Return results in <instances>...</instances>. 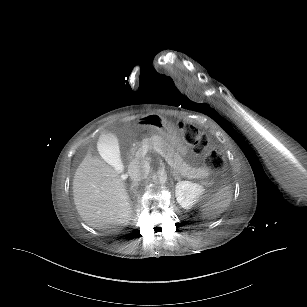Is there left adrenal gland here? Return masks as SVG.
Masks as SVG:
<instances>
[{"label": "left adrenal gland", "instance_id": "obj_1", "mask_svg": "<svg viewBox=\"0 0 307 307\" xmlns=\"http://www.w3.org/2000/svg\"><path fill=\"white\" fill-rule=\"evenodd\" d=\"M173 176L175 177V180L179 179V175H178V172H175V171H171Z\"/></svg>", "mask_w": 307, "mask_h": 307}]
</instances>
